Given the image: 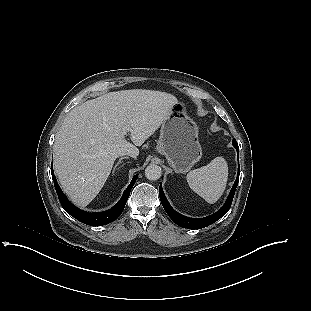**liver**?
Instances as JSON below:
<instances>
[{
    "label": "liver",
    "instance_id": "1",
    "mask_svg": "<svg viewBox=\"0 0 311 311\" xmlns=\"http://www.w3.org/2000/svg\"><path fill=\"white\" fill-rule=\"evenodd\" d=\"M175 96L132 89L110 92L75 107L54 142L53 164L67 196L81 207L101 191L114 161L139 155L141 146L171 114ZM129 128L131 141L125 139Z\"/></svg>",
    "mask_w": 311,
    "mask_h": 311
}]
</instances>
